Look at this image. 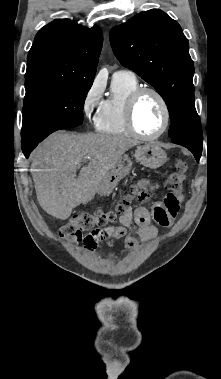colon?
Returning <instances> with one entry per match:
<instances>
[{
    "label": "colon",
    "mask_w": 221,
    "mask_h": 379,
    "mask_svg": "<svg viewBox=\"0 0 221 379\" xmlns=\"http://www.w3.org/2000/svg\"><path fill=\"white\" fill-rule=\"evenodd\" d=\"M186 169L187 167L184 161L178 160L176 162L174 171L170 173L167 180L168 189L182 190ZM132 197L133 192L130 191L111 209L99 210L94 213H82L74 216L61 227L60 236L68 241L84 243L90 235L84 236L86 232H96L103 227L109 226L111 223L115 222L118 217H121L129 208Z\"/></svg>",
    "instance_id": "1"
}]
</instances>
